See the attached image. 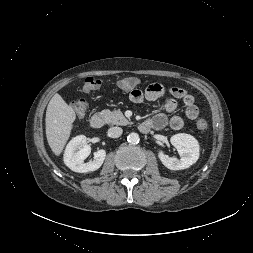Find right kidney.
Here are the masks:
<instances>
[{
  "instance_id": "ca27d5eb",
  "label": "right kidney",
  "mask_w": 253,
  "mask_h": 253,
  "mask_svg": "<svg viewBox=\"0 0 253 253\" xmlns=\"http://www.w3.org/2000/svg\"><path fill=\"white\" fill-rule=\"evenodd\" d=\"M90 153L91 147L86 142V136H76L66 146L64 163L74 172L87 173L95 171L103 164L106 157V151L103 149L98 150L94 153V160L85 163L84 160Z\"/></svg>"
}]
</instances>
